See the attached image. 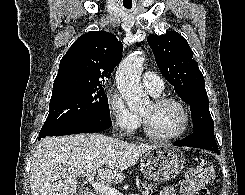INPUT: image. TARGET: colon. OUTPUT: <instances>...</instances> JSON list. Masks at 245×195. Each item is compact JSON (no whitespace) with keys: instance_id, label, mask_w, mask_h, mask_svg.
I'll return each instance as SVG.
<instances>
[{"instance_id":"obj_1","label":"colon","mask_w":245,"mask_h":195,"mask_svg":"<svg viewBox=\"0 0 245 195\" xmlns=\"http://www.w3.org/2000/svg\"><path fill=\"white\" fill-rule=\"evenodd\" d=\"M215 179L214 166L210 161H203L187 171L181 184V195H209L206 185Z\"/></svg>"}]
</instances>
